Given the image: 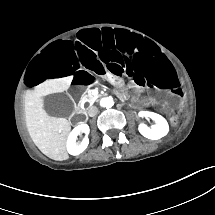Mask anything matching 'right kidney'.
I'll return each mask as SVG.
<instances>
[{
  "label": "right kidney",
  "mask_w": 215,
  "mask_h": 215,
  "mask_svg": "<svg viewBox=\"0 0 215 215\" xmlns=\"http://www.w3.org/2000/svg\"><path fill=\"white\" fill-rule=\"evenodd\" d=\"M79 127V131L77 134H74L75 128ZM73 131L70 133L68 140H67V151L71 155H79L82 153L89 144L88 134L90 132L89 126L87 124L81 123L78 126H76ZM80 133H85L86 136L82 140L80 144L76 143L77 136Z\"/></svg>",
  "instance_id": "ca27d5eb"
}]
</instances>
